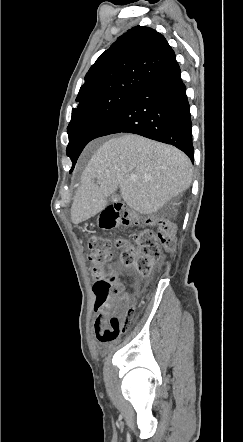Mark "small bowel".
I'll return each instance as SVG.
<instances>
[{"label": "small bowel", "mask_w": 243, "mask_h": 442, "mask_svg": "<svg viewBox=\"0 0 243 442\" xmlns=\"http://www.w3.org/2000/svg\"><path fill=\"white\" fill-rule=\"evenodd\" d=\"M130 295L127 293L122 294L115 300L114 306H104L101 308H95L96 318L94 321V332L96 339L104 346H107L112 341H102L101 335L110 325L109 317L111 314L123 312L130 304Z\"/></svg>", "instance_id": "1"}]
</instances>
